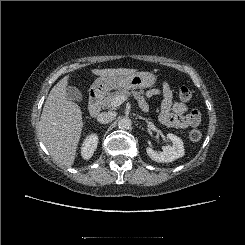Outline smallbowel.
<instances>
[{
    "instance_id": "c3829d8e",
    "label": "small bowel",
    "mask_w": 245,
    "mask_h": 245,
    "mask_svg": "<svg viewBox=\"0 0 245 245\" xmlns=\"http://www.w3.org/2000/svg\"><path fill=\"white\" fill-rule=\"evenodd\" d=\"M157 94H161L163 97L160 105V119L165 125L175 128H189L199 125L200 111L189 110L185 103L173 101V93L167 82H163L160 89L147 91L142 98V106L147 108L148 105L144 99Z\"/></svg>"
}]
</instances>
